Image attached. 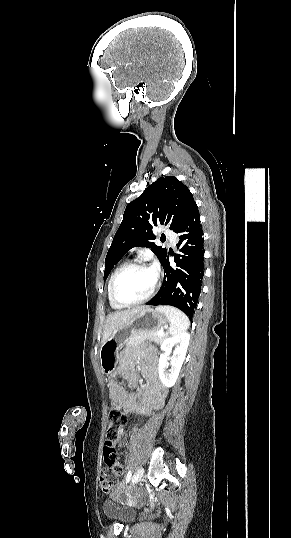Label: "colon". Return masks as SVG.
I'll use <instances>...</instances> for the list:
<instances>
[{"instance_id":"obj_1","label":"colon","mask_w":291,"mask_h":538,"mask_svg":"<svg viewBox=\"0 0 291 538\" xmlns=\"http://www.w3.org/2000/svg\"><path fill=\"white\" fill-rule=\"evenodd\" d=\"M126 422V413L119 406L112 404L108 414L109 426L104 446V461L107 467L100 474V487L105 493L113 492L121 471L117 464L114 443L122 433Z\"/></svg>"}]
</instances>
